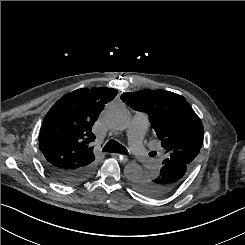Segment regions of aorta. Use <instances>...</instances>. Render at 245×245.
Masks as SVG:
<instances>
[{"mask_svg":"<svg viewBox=\"0 0 245 245\" xmlns=\"http://www.w3.org/2000/svg\"><path fill=\"white\" fill-rule=\"evenodd\" d=\"M104 119L111 129L123 131L129 126L131 116L129 110L125 106L118 104L106 108ZM124 175L128 180L134 182L143 176V169L139 164L129 162L124 167Z\"/></svg>","mask_w":245,"mask_h":245,"instance_id":"1","label":"aorta"}]
</instances>
